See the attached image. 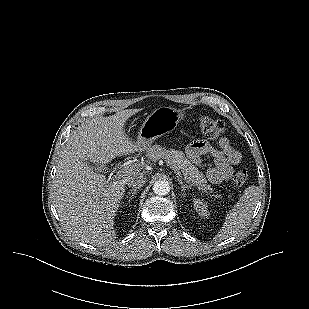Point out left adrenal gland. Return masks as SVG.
<instances>
[{
  "label": "left adrenal gland",
  "mask_w": 309,
  "mask_h": 309,
  "mask_svg": "<svg viewBox=\"0 0 309 309\" xmlns=\"http://www.w3.org/2000/svg\"><path fill=\"white\" fill-rule=\"evenodd\" d=\"M177 180H178V184H180V186H181V189H182L181 191L183 192V195L185 196L186 188L189 189V186L187 184H185L180 177H178Z\"/></svg>",
  "instance_id": "1"
}]
</instances>
